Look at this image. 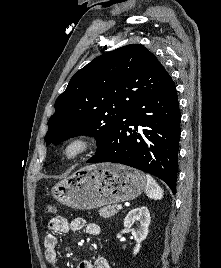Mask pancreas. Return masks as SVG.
<instances>
[{
    "label": "pancreas",
    "instance_id": "1",
    "mask_svg": "<svg viewBox=\"0 0 221 268\" xmlns=\"http://www.w3.org/2000/svg\"><path fill=\"white\" fill-rule=\"evenodd\" d=\"M117 206L116 205H108L106 207L100 208L99 209V214L104 217V218H109L111 216H114L117 214Z\"/></svg>",
    "mask_w": 221,
    "mask_h": 268
}]
</instances>
